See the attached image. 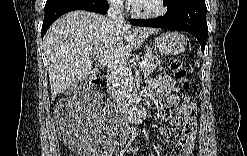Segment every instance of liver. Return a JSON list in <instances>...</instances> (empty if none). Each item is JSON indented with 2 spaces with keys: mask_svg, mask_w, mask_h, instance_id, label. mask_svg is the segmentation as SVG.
<instances>
[{
  "mask_svg": "<svg viewBox=\"0 0 247 156\" xmlns=\"http://www.w3.org/2000/svg\"><path fill=\"white\" fill-rule=\"evenodd\" d=\"M155 32L88 11L66 13L49 27L43 40L52 99L93 73L92 60L121 64Z\"/></svg>",
  "mask_w": 247,
  "mask_h": 156,
  "instance_id": "1",
  "label": "liver"
}]
</instances>
